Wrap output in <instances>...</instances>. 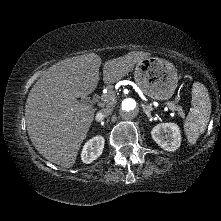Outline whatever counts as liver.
Here are the masks:
<instances>
[{
	"label": "liver",
	"instance_id": "liver-1",
	"mask_svg": "<svg viewBox=\"0 0 221 221\" xmlns=\"http://www.w3.org/2000/svg\"><path fill=\"white\" fill-rule=\"evenodd\" d=\"M149 55L133 51L106 61L104 83L119 81ZM101 62L95 53L58 62L41 76L28 94L25 117L29 137L36 150L52 163L71 168L76 162L95 115L94 108L77 98L95 90Z\"/></svg>",
	"mask_w": 221,
	"mask_h": 221
}]
</instances>
